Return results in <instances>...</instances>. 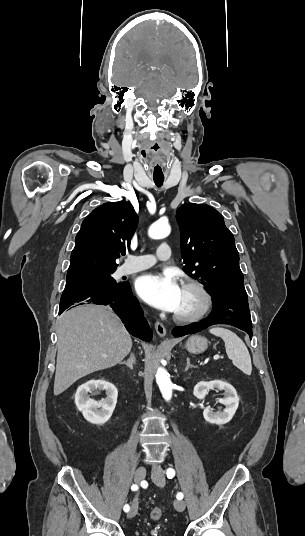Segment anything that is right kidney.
<instances>
[{
	"label": "right kidney",
	"instance_id": "obj_1",
	"mask_svg": "<svg viewBox=\"0 0 305 536\" xmlns=\"http://www.w3.org/2000/svg\"><path fill=\"white\" fill-rule=\"evenodd\" d=\"M96 390H105L106 398L100 400V402L91 400L88 392H96ZM117 396V388L110 382H106V380H89L86 384L79 386L75 394V404L78 410L82 412L85 420H88L91 424L101 426L111 418L116 406Z\"/></svg>",
	"mask_w": 305,
	"mask_h": 536
}]
</instances>
